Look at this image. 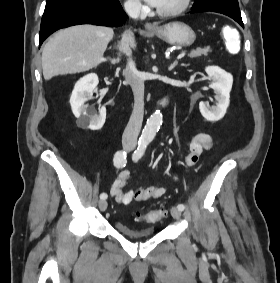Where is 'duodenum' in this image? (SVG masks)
<instances>
[{
  "mask_svg": "<svg viewBox=\"0 0 280 283\" xmlns=\"http://www.w3.org/2000/svg\"><path fill=\"white\" fill-rule=\"evenodd\" d=\"M168 104V98L167 97H163L161 98V100L159 101V106L160 107H166Z\"/></svg>",
  "mask_w": 280,
  "mask_h": 283,
  "instance_id": "410a0bca",
  "label": "duodenum"
}]
</instances>
